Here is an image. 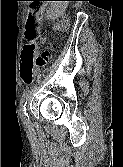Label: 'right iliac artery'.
<instances>
[{
    "instance_id": "obj_1",
    "label": "right iliac artery",
    "mask_w": 123,
    "mask_h": 167,
    "mask_svg": "<svg viewBox=\"0 0 123 167\" xmlns=\"http://www.w3.org/2000/svg\"><path fill=\"white\" fill-rule=\"evenodd\" d=\"M28 95H29V91H26L23 94L21 98V102H20V116H21L23 123L26 125L29 123V116L26 112V104H27Z\"/></svg>"
}]
</instances>
